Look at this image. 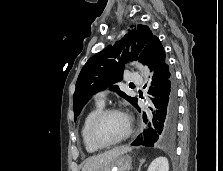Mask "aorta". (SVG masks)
<instances>
[{
  "instance_id": "aorta-1",
  "label": "aorta",
  "mask_w": 223,
  "mask_h": 171,
  "mask_svg": "<svg viewBox=\"0 0 223 171\" xmlns=\"http://www.w3.org/2000/svg\"><path fill=\"white\" fill-rule=\"evenodd\" d=\"M136 65L142 72H147L148 71V68L146 66H143L141 64H136Z\"/></svg>"
}]
</instances>
